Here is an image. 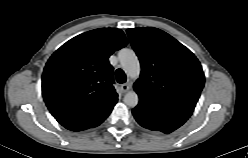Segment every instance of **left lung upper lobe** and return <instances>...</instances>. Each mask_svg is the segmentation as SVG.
Segmentation results:
<instances>
[{
    "mask_svg": "<svg viewBox=\"0 0 248 158\" xmlns=\"http://www.w3.org/2000/svg\"><path fill=\"white\" fill-rule=\"evenodd\" d=\"M142 67L134 84L139 104L133 111L166 134L191 116L205 77L200 62L184 45L154 28L127 30Z\"/></svg>",
    "mask_w": 248,
    "mask_h": 158,
    "instance_id": "1",
    "label": "left lung upper lobe"
}]
</instances>
